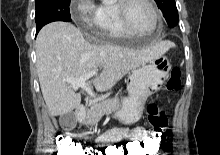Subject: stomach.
Returning <instances> with one entry per match:
<instances>
[{
	"label": "stomach",
	"instance_id": "stomach-1",
	"mask_svg": "<svg viewBox=\"0 0 220 155\" xmlns=\"http://www.w3.org/2000/svg\"><path fill=\"white\" fill-rule=\"evenodd\" d=\"M169 71L170 61L163 55L133 69L127 84L128 97L123 99L122 107L116 113L117 118L124 124L138 121L146 100L162 88Z\"/></svg>",
	"mask_w": 220,
	"mask_h": 155
}]
</instances>
